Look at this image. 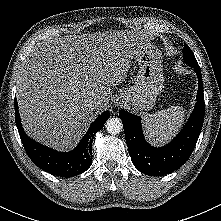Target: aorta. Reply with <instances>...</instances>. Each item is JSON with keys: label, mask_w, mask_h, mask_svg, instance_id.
Here are the masks:
<instances>
[{"label": "aorta", "mask_w": 221, "mask_h": 221, "mask_svg": "<svg viewBox=\"0 0 221 221\" xmlns=\"http://www.w3.org/2000/svg\"><path fill=\"white\" fill-rule=\"evenodd\" d=\"M106 130L110 134H118L122 130V122L119 118H109L106 122Z\"/></svg>", "instance_id": "aorta-1"}]
</instances>
